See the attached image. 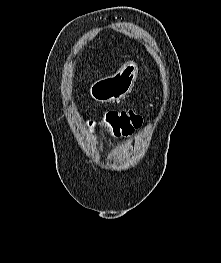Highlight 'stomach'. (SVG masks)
I'll return each instance as SVG.
<instances>
[{
  "label": "stomach",
  "instance_id": "1",
  "mask_svg": "<svg viewBox=\"0 0 221 263\" xmlns=\"http://www.w3.org/2000/svg\"><path fill=\"white\" fill-rule=\"evenodd\" d=\"M138 65L134 61L124 63L113 75L101 78L91 84L90 96L98 102H113L125 97L134 86Z\"/></svg>",
  "mask_w": 221,
  "mask_h": 263
}]
</instances>
